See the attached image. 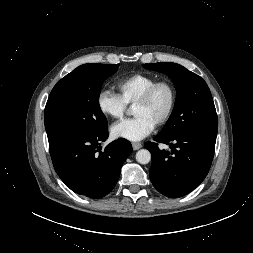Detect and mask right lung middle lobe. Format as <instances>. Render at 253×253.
<instances>
[{
  "instance_id": "right-lung-middle-lobe-1",
  "label": "right lung middle lobe",
  "mask_w": 253,
  "mask_h": 253,
  "mask_svg": "<svg viewBox=\"0 0 253 253\" xmlns=\"http://www.w3.org/2000/svg\"><path fill=\"white\" fill-rule=\"evenodd\" d=\"M119 64H84L52 89L45 112L48 141L71 134L95 133L107 127L99 105L101 86Z\"/></svg>"
}]
</instances>
